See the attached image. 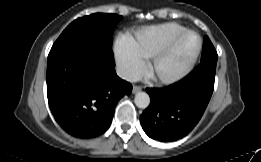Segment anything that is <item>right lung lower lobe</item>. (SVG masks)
Listing matches in <instances>:
<instances>
[{"label": "right lung lower lobe", "instance_id": "right-lung-lower-lobe-1", "mask_svg": "<svg viewBox=\"0 0 261 162\" xmlns=\"http://www.w3.org/2000/svg\"><path fill=\"white\" fill-rule=\"evenodd\" d=\"M109 44L79 40L53 45L47 63V97L58 124L77 138H93L111 125L115 106L132 85L115 72Z\"/></svg>", "mask_w": 261, "mask_h": 162}]
</instances>
